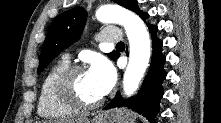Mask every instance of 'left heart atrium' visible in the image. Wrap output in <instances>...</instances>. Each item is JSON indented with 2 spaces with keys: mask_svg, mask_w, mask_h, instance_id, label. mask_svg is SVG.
<instances>
[{
  "mask_svg": "<svg viewBox=\"0 0 221 123\" xmlns=\"http://www.w3.org/2000/svg\"><path fill=\"white\" fill-rule=\"evenodd\" d=\"M87 72L102 96L106 95L115 83V69L104 57H95Z\"/></svg>",
  "mask_w": 221,
  "mask_h": 123,
  "instance_id": "39dd6f15",
  "label": "left heart atrium"
}]
</instances>
